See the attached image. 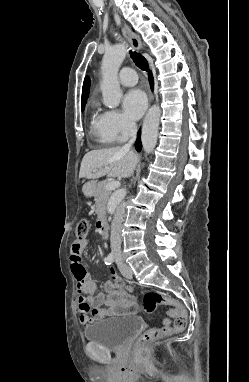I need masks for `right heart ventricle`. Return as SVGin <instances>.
Wrapping results in <instances>:
<instances>
[{
    "label": "right heart ventricle",
    "mask_w": 249,
    "mask_h": 382,
    "mask_svg": "<svg viewBox=\"0 0 249 382\" xmlns=\"http://www.w3.org/2000/svg\"><path fill=\"white\" fill-rule=\"evenodd\" d=\"M92 131L96 135L98 139H100L104 143H113L115 142L112 138H110L104 131V128L101 123V115L95 111L94 113V121L92 125Z\"/></svg>",
    "instance_id": "right-heart-ventricle-1"
}]
</instances>
